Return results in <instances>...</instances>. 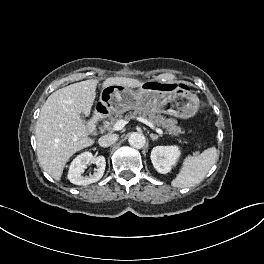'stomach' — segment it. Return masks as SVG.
Segmentation results:
<instances>
[{"label": "stomach", "instance_id": "0dacf381", "mask_svg": "<svg viewBox=\"0 0 264 264\" xmlns=\"http://www.w3.org/2000/svg\"><path fill=\"white\" fill-rule=\"evenodd\" d=\"M131 109L190 118L199 109V99L194 93L178 86L171 91L158 90L148 82L143 88L134 91L126 86L110 85L101 90L95 114L105 117Z\"/></svg>", "mask_w": 264, "mask_h": 264}]
</instances>
